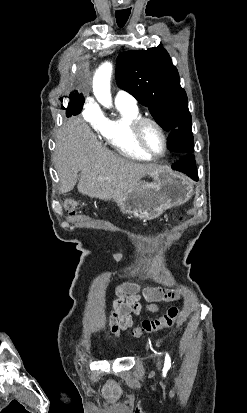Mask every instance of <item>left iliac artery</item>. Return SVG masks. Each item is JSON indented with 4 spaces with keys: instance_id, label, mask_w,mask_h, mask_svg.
I'll return each instance as SVG.
<instances>
[{
    "instance_id": "1",
    "label": "left iliac artery",
    "mask_w": 247,
    "mask_h": 413,
    "mask_svg": "<svg viewBox=\"0 0 247 413\" xmlns=\"http://www.w3.org/2000/svg\"><path fill=\"white\" fill-rule=\"evenodd\" d=\"M171 367V359L168 353L165 355L164 369L168 370Z\"/></svg>"
}]
</instances>
